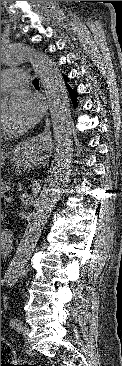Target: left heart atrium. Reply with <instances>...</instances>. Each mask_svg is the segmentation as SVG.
<instances>
[{
  "instance_id": "obj_1",
  "label": "left heart atrium",
  "mask_w": 122,
  "mask_h": 366,
  "mask_svg": "<svg viewBox=\"0 0 122 366\" xmlns=\"http://www.w3.org/2000/svg\"><path fill=\"white\" fill-rule=\"evenodd\" d=\"M42 113V103L36 96L27 91H18L11 97L5 123L10 131H26L40 120Z\"/></svg>"
}]
</instances>
